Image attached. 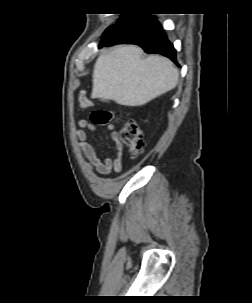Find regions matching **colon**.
Returning a JSON list of instances; mask_svg holds the SVG:
<instances>
[{"mask_svg":"<svg viewBox=\"0 0 252 303\" xmlns=\"http://www.w3.org/2000/svg\"><path fill=\"white\" fill-rule=\"evenodd\" d=\"M82 106H88L89 103L83 99L80 100ZM113 113L105 109H97L90 115V121L95 125H106L112 122ZM121 142L126 145L134 154L142 150V137L139 128L134 120L128 119L125 121L121 132Z\"/></svg>","mask_w":252,"mask_h":303,"instance_id":"obj_1","label":"colon"}]
</instances>
